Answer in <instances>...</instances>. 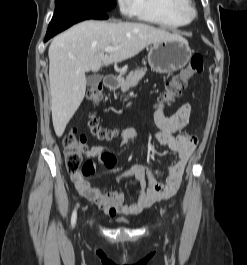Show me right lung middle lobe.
<instances>
[{"label":"right lung middle lobe","mask_w":247,"mask_h":265,"mask_svg":"<svg viewBox=\"0 0 247 265\" xmlns=\"http://www.w3.org/2000/svg\"><path fill=\"white\" fill-rule=\"evenodd\" d=\"M115 6V0H55L54 14L73 10H99L107 12Z\"/></svg>","instance_id":"obj_1"}]
</instances>
